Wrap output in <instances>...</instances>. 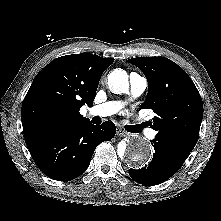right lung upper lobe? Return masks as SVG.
Wrapping results in <instances>:
<instances>
[{
    "label": "right lung upper lobe",
    "instance_id": "right-lung-upper-lobe-1",
    "mask_svg": "<svg viewBox=\"0 0 221 221\" xmlns=\"http://www.w3.org/2000/svg\"><path fill=\"white\" fill-rule=\"evenodd\" d=\"M113 61L80 53L46 65L34 78L22 104L25 140L90 122L79 110L84 104L93 105L101 75Z\"/></svg>",
    "mask_w": 221,
    "mask_h": 221
}]
</instances>
